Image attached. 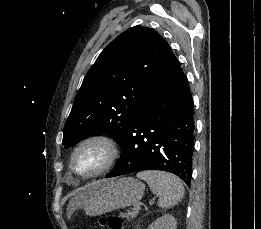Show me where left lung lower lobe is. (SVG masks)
I'll return each instance as SVG.
<instances>
[{"label":"left lung lower lobe","instance_id":"left-lung-lower-lobe-1","mask_svg":"<svg viewBox=\"0 0 261 229\" xmlns=\"http://www.w3.org/2000/svg\"><path fill=\"white\" fill-rule=\"evenodd\" d=\"M121 148V157L106 178L143 170H162L190 183L194 107L182 68L149 94L133 119Z\"/></svg>","mask_w":261,"mask_h":229}]
</instances>
